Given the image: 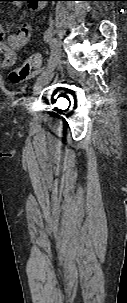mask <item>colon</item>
<instances>
[{"mask_svg": "<svg viewBox=\"0 0 127 303\" xmlns=\"http://www.w3.org/2000/svg\"><path fill=\"white\" fill-rule=\"evenodd\" d=\"M41 65V55L33 54L24 64L18 69H14L9 73V80L12 83H20L25 80L31 73L32 69H38Z\"/></svg>", "mask_w": 127, "mask_h": 303, "instance_id": "colon-1", "label": "colon"}]
</instances>
